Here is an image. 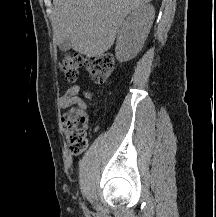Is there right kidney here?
I'll return each mask as SVG.
<instances>
[{
    "instance_id": "ca27d5eb",
    "label": "right kidney",
    "mask_w": 216,
    "mask_h": 217,
    "mask_svg": "<svg viewBox=\"0 0 216 217\" xmlns=\"http://www.w3.org/2000/svg\"><path fill=\"white\" fill-rule=\"evenodd\" d=\"M154 16L153 6L145 4L127 17L117 35L115 51L118 61L126 62L138 54L148 36Z\"/></svg>"
}]
</instances>
